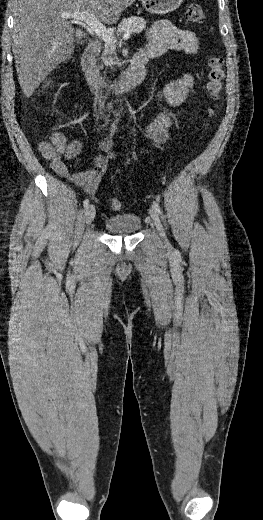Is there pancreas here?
Here are the masks:
<instances>
[{
  "instance_id": "pancreas-1",
  "label": "pancreas",
  "mask_w": 263,
  "mask_h": 520,
  "mask_svg": "<svg viewBox=\"0 0 263 520\" xmlns=\"http://www.w3.org/2000/svg\"><path fill=\"white\" fill-rule=\"evenodd\" d=\"M146 20L142 17L131 16L129 18H124L121 23L118 25L117 33L118 35L126 33L127 31L131 33H140L144 29H146ZM103 53L101 56V60L105 66H113L118 64L117 57H113L112 55L116 54V47L113 45L105 44L103 47Z\"/></svg>"
}]
</instances>
